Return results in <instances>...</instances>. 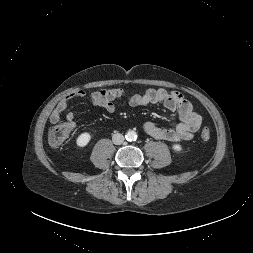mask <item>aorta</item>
<instances>
[{
    "instance_id": "aorta-1",
    "label": "aorta",
    "mask_w": 253,
    "mask_h": 253,
    "mask_svg": "<svg viewBox=\"0 0 253 253\" xmlns=\"http://www.w3.org/2000/svg\"><path fill=\"white\" fill-rule=\"evenodd\" d=\"M125 138L128 141H134L137 138V134L135 131L130 130L126 133Z\"/></svg>"
}]
</instances>
